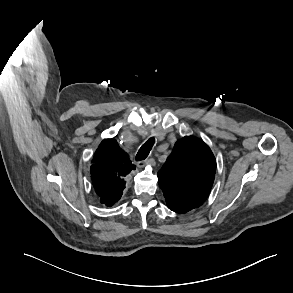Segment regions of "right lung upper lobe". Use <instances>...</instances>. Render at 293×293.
<instances>
[{
  "label": "right lung upper lobe",
  "mask_w": 293,
  "mask_h": 293,
  "mask_svg": "<svg viewBox=\"0 0 293 293\" xmlns=\"http://www.w3.org/2000/svg\"><path fill=\"white\" fill-rule=\"evenodd\" d=\"M134 169L116 140L105 139L100 143L92 161L91 178L101 203L110 207L121 198L124 178Z\"/></svg>",
  "instance_id": "obj_1"
}]
</instances>
